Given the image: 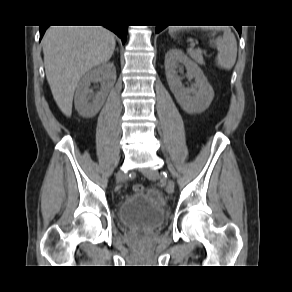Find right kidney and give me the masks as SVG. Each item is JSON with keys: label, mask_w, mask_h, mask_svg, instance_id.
<instances>
[{"label": "right kidney", "mask_w": 292, "mask_h": 292, "mask_svg": "<svg viewBox=\"0 0 292 292\" xmlns=\"http://www.w3.org/2000/svg\"><path fill=\"white\" fill-rule=\"evenodd\" d=\"M116 68L114 63L108 62L89 70L77 85L75 93V108L85 118L94 117L116 81ZM102 81L101 90L95 95L90 93L91 82Z\"/></svg>", "instance_id": "obj_1"}]
</instances>
